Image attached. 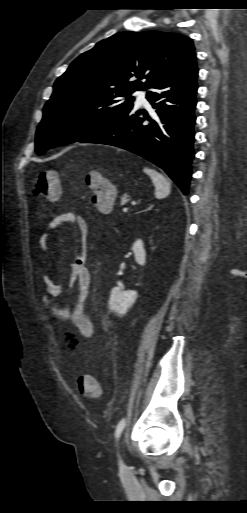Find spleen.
Wrapping results in <instances>:
<instances>
[{
    "mask_svg": "<svg viewBox=\"0 0 247 513\" xmlns=\"http://www.w3.org/2000/svg\"><path fill=\"white\" fill-rule=\"evenodd\" d=\"M144 172L150 176L155 186V197L157 199L166 198L171 192L170 181L156 170L145 168Z\"/></svg>",
    "mask_w": 247,
    "mask_h": 513,
    "instance_id": "obj_1",
    "label": "spleen"
}]
</instances>
